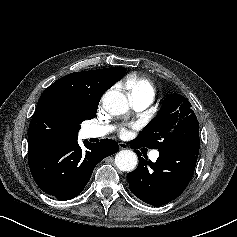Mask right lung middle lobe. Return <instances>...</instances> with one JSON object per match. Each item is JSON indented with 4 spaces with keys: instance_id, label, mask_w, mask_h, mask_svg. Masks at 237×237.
Returning a JSON list of instances; mask_svg holds the SVG:
<instances>
[{
    "instance_id": "dd1d6c3e",
    "label": "right lung middle lobe",
    "mask_w": 237,
    "mask_h": 237,
    "mask_svg": "<svg viewBox=\"0 0 237 237\" xmlns=\"http://www.w3.org/2000/svg\"><path fill=\"white\" fill-rule=\"evenodd\" d=\"M98 107H93L90 109H84L81 111L80 116H79V122L82 123V121L88 119V118H93L96 115Z\"/></svg>"
}]
</instances>
